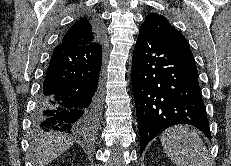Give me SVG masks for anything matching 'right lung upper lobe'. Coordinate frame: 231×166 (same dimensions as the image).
Listing matches in <instances>:
<instances>
[{"mask_svg": "<svg viewBox=\"0 0 231 166\" xmlns=\"http://www.w3.org/2000/svg\"><path fill=\"white\" fill-rule=\"evenodd\" d=\"M104 38V32L98 19L86 16L75 22L65 33L62 45H91Z\"/></svg>", "mask_w": 231, "mask_h": 166, "instance_id": "right-lung-upper-lobe-1", "label": "right lung upper lobe"}]
</instances>
